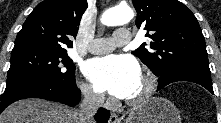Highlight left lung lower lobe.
<instances>
[{
    "instance_id": "1",
    "label": "left lung lower lobe",
    "mask_w": 221,
    "mask_h": 123,
    "mask_svg": "<svg viewBox=\"0 0 221 123\" xmlns=\"http://www.w3.org/2000/svg\"><path fill=\"white\" fill-rule=\"evenodd\" d=\"M177 81H189L200 84L209 92L214 94L210 71L198 68L178 69L163 74L161 77H159L157 91L164 88L166 85Z\"/></svg>"
}]
</instances>
